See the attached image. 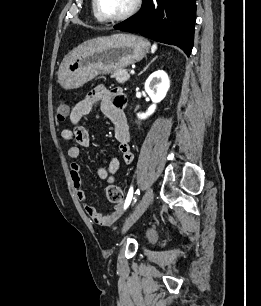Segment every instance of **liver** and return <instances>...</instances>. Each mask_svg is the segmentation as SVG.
<instances>
[{
  "label": "liver",
  "instance_id": "1",
  "mask_svg": "<svg viewBox=\"0 0 261 306\" xmlns=\"http://www.w3.org/2000/svg\"><path fill=\"white\" fill-rule=\"evenodd\" d=\"M97 39H99V38H97ZM97 39H92V40L85 41L83 44L79 45L77 48H79V47H81V46H83L85 44L91 43L93 41H96Z\"/></svg>",
  "mask_w": 261,
  "mask_h": 306
}]
</instances>
